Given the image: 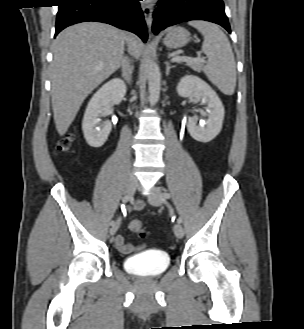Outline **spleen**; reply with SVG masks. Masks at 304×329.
Instances as JSON below:
<instances>
[{"label":"spleen","mask_w":304,"mask_h":329,"mask_svg":"<svg viewBox=\"0 0 304 329\" xmlns=\"http://www.w3.org/2000/svg\"><path fill=\"white\" fill-rule=\"evenodd\" d=\"M204 38L202 51L208 58L203 71L208 79L225 95H232L236 87L234 54L227 36L215 24L207 21H190Z\"/></svg>","instance_id":"3e777b00"}]
</instances>
